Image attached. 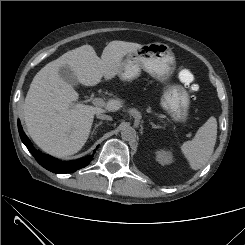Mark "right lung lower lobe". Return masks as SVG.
I'll list each match as a JSON object with an SVG mask.
<instances>
[{"mask_svg": "<svg viewBox=\"0 0 245 245\" xmlns=\"http://www.w3.org/2000/svg\"><path fill=\"white\" fill-rule=\"evenodd\" d=\"M18 129H19V134L21 137L22 142L25 144L27 149L32 153V155L35 157L37 162L46 168L47 170L54 172V173H70L74 172L80 168H83L87 166L90 161L93 159L95 150L91 156H87L81 159H77L74 161H67L63 162L58 159H55L51 157L50 155L43 154L40 151L36 150L28 137L25 135L22 126L20 124V121H18Z\"/></svg>", "mask_w": 245, "mask_h": 245, "instance_id": "98d812e1", "label": "right lung lower lobe"}]
</instances>
